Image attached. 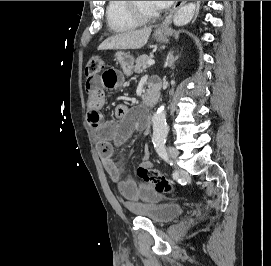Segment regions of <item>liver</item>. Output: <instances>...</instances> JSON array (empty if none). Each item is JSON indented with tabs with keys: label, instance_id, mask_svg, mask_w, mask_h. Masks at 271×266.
Listing matches in <instances>:
<instances>
[{
	"label": "liver",
	"instance_id": "1",
	"mask_svg": "<svg viewBox=\"0 0 271 266\" xmlns=\"http://www.w3.org/2000/svg\"><path fill=\"white\" fill-rule=\"evenodd\" d=\"M152 32L151 27L128 31L105 39L98 47V50L116 49H140L144 47Z\"/></svg>",
	"mask_w": 271,
	"mask_h": 266
}]
</instances>
